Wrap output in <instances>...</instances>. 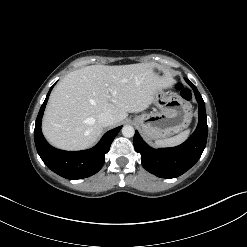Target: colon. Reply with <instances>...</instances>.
<instances>
[{
	"mask_svg": "<svg viewBox=\"0 0 247 247\" xmlns=\"http://www.w3.org/2000/svg\"><path fill=\"white\" fill-rule=\"evenodd\" d=\"M177 89L180 91V94L185 98L189 99L190 98V92L189 90L185 89L182 85L178 84Z\"/></svg>",
	"mask_w": 247,
	"mask_h": 247,
	"instance_id": "colon-1",
	"label": "colon"
}]
</instances>
